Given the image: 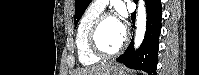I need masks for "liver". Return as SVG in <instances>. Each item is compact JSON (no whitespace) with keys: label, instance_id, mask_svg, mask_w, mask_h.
I'll return each mask as SVG.
<instances>
[{"label":"liver","instance_id":"obj_1","mask_svg":"<svg viewBox=\"0 0 199 75\" xmlns=\"http://www.w3.org/2000/svg\"><path fill=\"white\" fill-rule=\"evenodd\" d=\"M111 65H99L93 66L85 69H80L75 72V75H107Z\"/></svg>","mask_w":199,"mask_h":75}]
</instances>
